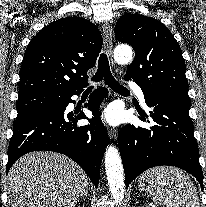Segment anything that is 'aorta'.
<instances>
[{
	"label": "aorta",
	"mask_w": 206,
	"mask_h": 207,
	"mask_svg": "<svg viewBox=\"0 0 206 207\" xmlns=\"http://www.w3.org/2000/svg\"><path fill=\"white\" fill-rule=\"evenodd\" d=\"M114 59L121 64L130 62L132 60L131 47L126 45L116 47L114 50ZM105 169L113 199L118 204H121L125 193L124 171L120 154L113 145L108 146L106 149Z\"/></svg>",
	"instance_id": "762f6f07"
}]
</instances>
